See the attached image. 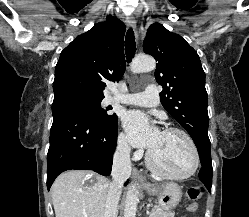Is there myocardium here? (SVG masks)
<instances>
[{"mask_svg": "<svg viewBox=\"0 0 249 217\" xmlns=\"http://www.w3.org/2000/svg\"><path fill=\"white\" fill-rule=\"evenodd\" d=\"M163 132L178 133V134H181L187 140V142L189 143V145L192 149V152H193V165H192L191 169L184 174L168 173L157 166V164L153 160L151 150H149L146 154V162H147L150 170L154 174H156L162 178H165V179L185 180V179L190 178L191 176H193L196 173V171L199 167V164H200L199 150L197 148L195 141L193 140V138L191 137V135L187 131H185L181 128H178V127H167L163 130Z\"/></svg>", "mask_w": 249, "mask_h": 217, "instance_id": "1", "label": "myocardium"}]
</instances>
